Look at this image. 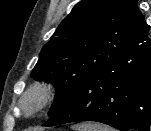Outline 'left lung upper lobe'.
Here are the masks:
<instances>
[{"mask_svg":"<svg viewBox=\"0 0 151 131\" xmlns=\"http://www.w3.org/2000/svg\"><path fill=\"white\" fill-rule=\"evenodd\" d=\"M141 12L137 0H81L42 48L35 80L53 83V116L81 82L118 66L132 51Z\"/></svg>","mask_w":151,"mask_h":131,"instance_id":"left-lung-upper-lobe-1","label":"left lung upper lobe"}]
</instances>
